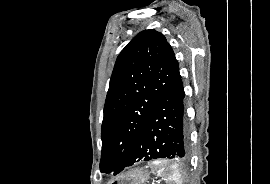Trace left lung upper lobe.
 Returning <instances> with one entry per match:
<instances>
[{
    "instance_id": "5c2ea615",
    "label": "left lung upper lobe",
    "mask_w": 270,
    "mask_h": 184,
    "mask_svg": "<svg viewBox=\"0 0 270 184\" xmlns=\"http://www.w3.org/2000/svg\"><path fill=\"white\" fill-rule=\"evenodd\" d=\"M179 66L163 34H137L119 54L104 106L100 171L119 173Z\"/></svg>"
}]
</instances>
